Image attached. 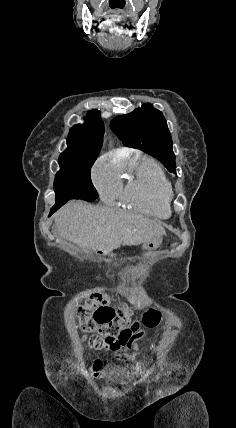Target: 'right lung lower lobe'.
<instances>
[{
    "instance_id": "1",
    "label": "right lung lower lobe",
    "mask_w": 236,
    "mask_h": 428,
    "mask_svg": "<svg viewBox=\"0 0 236 428\" xmlns=\"http://www.w3.org/2000/svg\"><path fill=\"white\" fill-rule=\"evenodd\" d=\"M58 209H59V208H58ZM58 209H57V208H56V209H53V208H52V209H51V211H50L49 216H50V215H52L54 212H56Z\"/></svg>"
}]
</instances>
